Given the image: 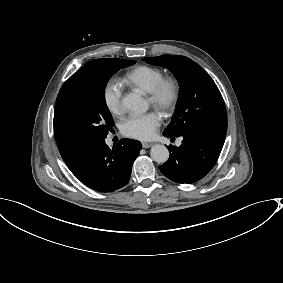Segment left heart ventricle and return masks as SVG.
Returning <instances> with one entry per match:
<instances>
[{
	"label": "left heart ventricle",
	"mask_w": 283,
	"mask_h": 283,
	"mask_svg": "<svg viewBox=\"0 0 283 283\" xmlns=\"http://www.w3.org/2000/svg\"><path fill=\"white\" fill-rule=\"evenodd\" d=\"M147 100H148V104L150 105V100H149V98L147 97Z\"/></svg>",
	"instance_id": "b2bd125f"
}]
</instances>
